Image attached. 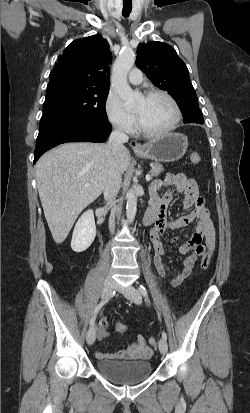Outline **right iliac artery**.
I'll return each instance as SVG.
<instances>
[{"label":"right iliac artery","mask_w":250,"mask_h":413,"mask_svg":"<svg viewBox=\"0 0 250 413\" xmlns=\"http://www.w3.org/2000/svg\"><path fill=\"white\" fill-rule=\"evenodd\" d=\"M114 293H115V292H113V294H114ZM107 301H108V299L100 302V303L97 305V307L95 308V310H94V312H93V315H92V317H91V320H90V328L94 326V323H95V320H96V317H97L98 312L100 311V309L104 306V304H105Z\"/></svg>","instance_id":"obj_1"}]
</instances>
